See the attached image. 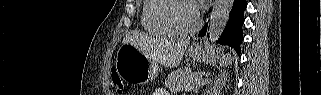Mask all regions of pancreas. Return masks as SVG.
<instances>
[{"label":"pancreas","mask_w":321,"mask_h":95,"mask_svg":"<svg viewBox=\"0 0 321 95\" xmlns=\"http://www.w3.org/2000/svg\"><path fill=\"white\" fill-rule=\"evenodd\" d=\"M208 82L207 79L202 78L199 74H192L186 70H177L167 77L165 85L175 91L194 90Z\"/></svg>","instance_id":"cf45deb5"}]
</instances>
